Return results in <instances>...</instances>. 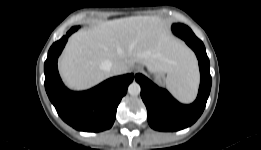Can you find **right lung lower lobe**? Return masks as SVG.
I'll return each instance as SVG.
<instances>
[{"instance_id": "obj_1", "label": "right lung lower lobe", "mask_w": 261, "mask_h": 150, "mask_svg": "<svg viewBox=\"0 0 261 150\" xmlns=\"http://www.w3.org/2000/svg\"><path fill=\"white\" fill-rule=\"evenodd\" d=\"M78 28L73 27L48 52L44 63L45 89L59 116L73 128L86 132H100L111 128L117 106L126 94L134 75L113 77L83 92H72L62 83L57 70V59L68 37Z\"/></svg>"}]
</instances>
